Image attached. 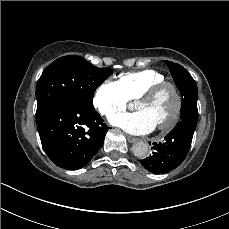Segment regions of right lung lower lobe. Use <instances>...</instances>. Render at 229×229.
Returning a JSON list of instances; mask_svg holds the SVG:
<instances>
[{
	"label": "right lung lower lobe",
	"mask_w": 229,
	"mask_h": 229,
	"mask_svg": "<svg viewBox=\"0 0 229 229\" xmlns=\"http://www.w3.org/2000/svg\"><path fill=\"white\" fill-rule=\"evenodd\" d=\"M42 147L59 167L85 166L103 145L107 126L94 107L62 100L36 120Z\"/></svg>",
	"instance_id": "right-lung-lower-lobe-1"
}]
</instances>
